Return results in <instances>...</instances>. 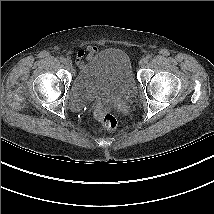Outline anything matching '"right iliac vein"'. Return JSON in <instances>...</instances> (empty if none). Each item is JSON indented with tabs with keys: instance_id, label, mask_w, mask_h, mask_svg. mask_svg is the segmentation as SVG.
<instances>
[{
	"instance_id": "1",
	"label": "right iliac vein",
	"mask_w": 214,
	"mask_h": 214,
	"mask_svg": "<svg viewBox=\"0 0 214 214\" xmlns=\"http://www.w3.org/2000/svg\"><path fill=\"white\" fill-rule=\"evenodd\" d=\"M64 64H65L67 67H70V66L72 65V62H71V60H66V61L64 62Z\"/></svg>"
}]
</instances>
